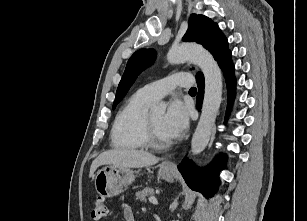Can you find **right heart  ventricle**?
Masks as SVG:
<instances>
[{
    "mask_svg": "<svg viewBox=\"0 0 307 221\" xmlns=\"http://www.w3.org/2000/svg\"><path fill=\"white\" fill-rule=\"evenodd\" d=\"M141 90L135 92L117 113L111 129V145L115 149H142L144 123L148 106L153 102Z\"/></svg>",
    "mask_w": 307,
    "mask_h": 221,
    "instance_id": "e07e8e85",
    "label": "right heart ventricle"
}]
</instances>
